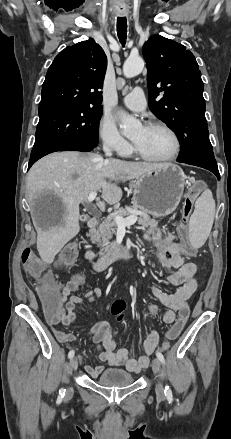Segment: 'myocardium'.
<instances>
[{
  "instance_id": "myocardium-1",
  "label": "myocardium",
  "mask_w": 231,
  "mask_h": 439,
  "mask_svg": "<svg viewBox=\"0 0 231 439\" xmlns=\"http://www.w3.org/2000/svg\"><path fill=\"white\" fill-rule=\"evenodd\" d=\"M147 129H162L169 134L173 142V149L171 153L164 157H150L142 153L136 145H134V153L142 160L153 162V163H165L174 160L181 151V141L177 135V133L167 124L162 122H153L146 125Z\"/></svg>"
}]
</instances>
